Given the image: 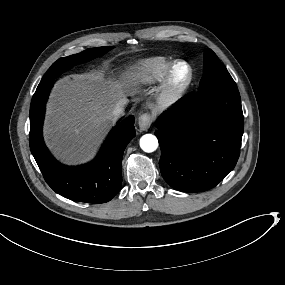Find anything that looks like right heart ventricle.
<instances>
[{"mask_svg":"<svg viewBox=\"0 0 285 285\" xmlns=\"http://www.w3.org/2000/svg\"><path fill=\"white\" fill-rule=\"evenodd\" d=\"M171 69L164 57H150L138 63L135 83L138 86H152L161 82Z\"/></svg>","mask_w":285,"mask_h":285,"instance_id":"e07e8e85","label":"right heart ventricle"}]
</instances>
